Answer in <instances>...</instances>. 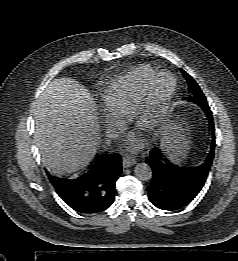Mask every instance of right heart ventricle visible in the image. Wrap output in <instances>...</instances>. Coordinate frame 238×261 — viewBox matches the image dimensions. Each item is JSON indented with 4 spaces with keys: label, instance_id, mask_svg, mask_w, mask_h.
Wrapping results in <instances>:
<instances>
[{
    "label": "right heart ventricle",
    "instance_id": "obj_1",
    "mask_svg": "<svg viewBox=\"0 0 238 261\" xmlns=\"http://www.w3.org/2000/svg\"><path fill=\"white\" fill-rule=\"evenodd\" d=\"M155 72L150 65L142 64L113 80L100 93L104 108L122 116L130 115L143 84Z\"/></svg>",
    "mask_w": 238,
    "mask_h": 261
}]
</instances>
